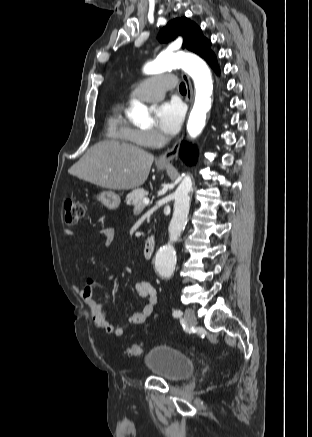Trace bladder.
<instances>
[{
    "label": "bladder",
    "instance_id": "31cf9c89",
    "mask_svg": "<svg viewBox=\"0 0 312 437\" xmlns=\"http://www.w3.org/2000/svg\"><path fill=\"white\" fill-rule=\"evenodd\" d=\"M143 361L150 374L170 383L181 381L194 372V363L188 356L166 345L151 348Z\"/></svg>",
    "mask_w": 312,
    "mask_h": 437
}]
</instances>
